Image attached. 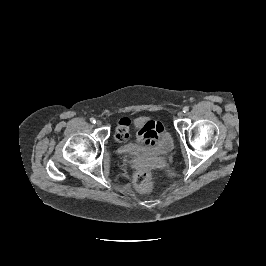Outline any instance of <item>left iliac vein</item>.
<instances>
[{"instance_id": "4c4485c4", "label": "left iliac vein", "mask_w": 266, "mask_h": 266, "mask_svg": "<svg viewBox=\"0 0 266 266\" xmlns=\"http://www.w3.org/2000/svg\"><path fill=\"white\" fill-rule=\"evenodd\" d=\"M177 116H178V118H183L184 113H183L182 111H179V112L177 113Z\"/></svg>"}]
</instances>
